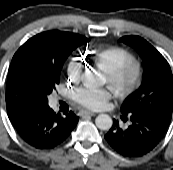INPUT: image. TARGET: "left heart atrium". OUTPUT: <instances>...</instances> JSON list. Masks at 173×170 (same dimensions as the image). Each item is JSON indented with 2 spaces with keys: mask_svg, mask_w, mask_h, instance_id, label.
<instances>
[{
  "mask_svg": "<svg viewBox=\"0 0 173 170\" xmlns=\"http://www.w3.org/2000/svg\"><path fill=\"white\" fill-rule=\"evenodd\" d=\"M108 98L109 94L104 90H87L82 94V101L88 106H98Z\"/></svg>",
  "mask_w": 173,
  "mask_h": 170,
  "instance_id": "1",
  "label": "left heart atrium"
}]
</instances>
